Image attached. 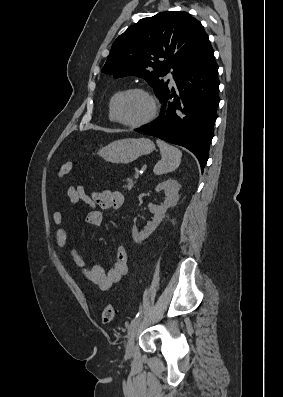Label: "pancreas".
I'll return each instance as SVG.
<instances>
[{"mask_svg": "<svg viewBox=\"0 0 283 397\" xmlns=\"http://www.w3.org/2000/svg\"><path fill=\"white\" fill-rule=\"evenodd\" d=\"M125 182L126 183L124 184L123 187L126 190H131L134 187V185L136 184V181L133 178H127Z\"/></svg>", "mask_w": 283, "mask_h": 397, "instance_id": "cf45deb5", "label": "pancreas"}]
</instances>
